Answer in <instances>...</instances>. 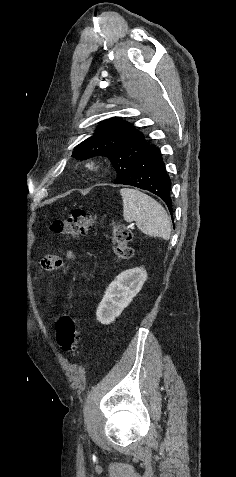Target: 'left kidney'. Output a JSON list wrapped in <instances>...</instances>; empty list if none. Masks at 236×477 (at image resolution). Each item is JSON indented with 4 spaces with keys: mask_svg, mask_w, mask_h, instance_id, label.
Segmentation results:
<instances>
[{
    "mask_svg": "<svg viewBox=\"0 0 236 477\" xmlns=\"http://www.w3.org/2000/svg\"><path fill=\"white\" fill-rule=\"evenodd\" d=\"M146 279L147 272L144 268H133L120 273L106 289L97 308L98 321L106 325L115 321L142 289Z\"/></svg>",
    "mask_w": 236,
    "mask_h": 477,
    "instance_id": "left-kidney-1",
    "label": "left kidney"
}]
</instances>
